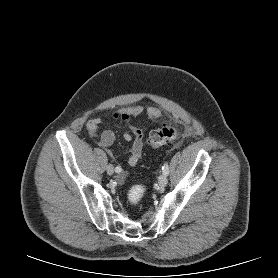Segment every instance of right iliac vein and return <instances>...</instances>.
<instances>
[{"label": "right iliac vein", "mask_w": 278, "mask_h": 278, "mask_svg": "<svg viewBox=\"0 0 278 278\" xmlns=\"http://www.w3.org/2000/svg\"><path fill=\"white\" fill-rule=\"evenodd\" d=\"M107 174L112 175L114 173V168L112 165H108L106 168Z\"/></svg>", "instance_id": "right-iliac-vein-1"}]
</instances>
